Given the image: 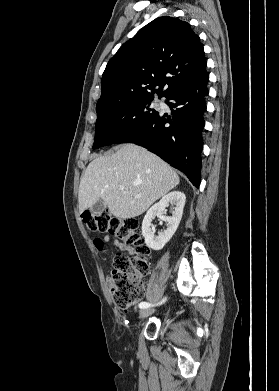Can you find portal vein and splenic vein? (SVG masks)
<instances>
[{
	"instance_id": "obj_1",
	"label": "portal vein and splenic vein",
	"mask_w": 279,
	"mask_h": 391,
	"mask_svg": "<svg viewBox=\"0 0 279 391\" xmlns=\"http://www.w3.org/2000/svg\"><path fill=\"white\" fill-rule=\"evenodd\" d=\"M120 190H124V187L123 186H120V188H119ZM138 197V196H137Z\"/></svg>"
}]
</instances>
